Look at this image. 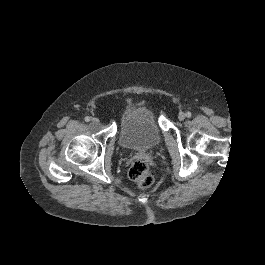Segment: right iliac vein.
<instances>
[{
	"mask_svg": "<svg viewBox=\"0 0 265 265\" xmlns=\"http://www.w3.org/2000/svg\"><path fill=\"white\" fill-rule=\"evenodd\" d=\"M92 122H93V123H99L100 120H99L98 118L95 117V118L92 119Z\"/></svg>",
	"mask_w": 265,
	"mask_h": 265,
	"instance_id": "1",
	"label": "right iliac vein"
}]
</instances>
